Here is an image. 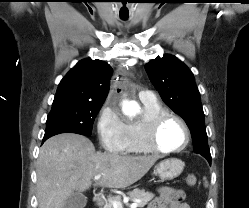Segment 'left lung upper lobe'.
Returning <instances> with one entry per match:
<instances>
[{"label":"left lung upper lobe","instance_id":"left-lung-upper-lobe-1","mask_svg":"<svg viewBox=\"0 0 249 208\" xmlns=\"http://www.w3.org/2000/svg\"><path fill=\"white\" fill-rule=\"evenodd\" d=\"M145 68L164 103L177 112L191 130L194 152L211 159L200 93L192 72L169 54L149 61Z\"/></svg>","mask_w":249,"mask_h":208}]
</instances>
